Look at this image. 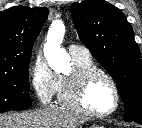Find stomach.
I'll return each mask as SVG.
<instances>
[{
    "label": "stomach",
    "mask_w": 142,
    "mask_h": 128,
    "mask_svg": "<svg viewBox=\"0 0 142 128\" xmlns=\"http://www.w3.org/2000/svg\"><path fill=\"white\" fill-rule=\"evenodd\" d=\"M89 128H104V127L101 125L94 124V125H91Z\"/></svg>",
    "instance_id": "stomach-1"
}]
</instances>
